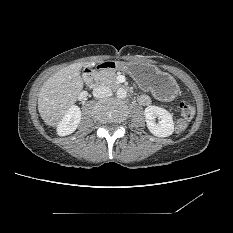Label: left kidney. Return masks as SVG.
<instances>
[{
	"label": "left kidney",
	"instance_id": "left-kidney-1",
	"mask_svg": "<svg viewBox=\"0 0 233 233\" xmlns=\"http://www.w3.org/2000/svg\"><path fill=\"white\" fill-rule=\"evenodd\" d=\"M145 120L149 131L158 137H168L174 132L172 115L158 106H148L144 110ZM158 118V123L155 122Z\"/></svg>",
	"mask_w": 233,
	"mask_h": 233
}]
</instances>
